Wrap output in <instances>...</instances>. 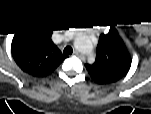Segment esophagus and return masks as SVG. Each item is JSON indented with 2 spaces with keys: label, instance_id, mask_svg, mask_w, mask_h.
I'll return each mask as SVG.
<instances>
[{
  "label": "esophagus",
  "instance_id": "1",
  "mask_svg": "<svg viewBox=\"0 0 151 114\" xmlns=\"http://www.w3.org/2000/svg\"><path fill=\"white\" fill-rule=\"evenodd\" d=\"M74 55H76L77 57L83 59L84 56L79 52V51H74Z\"/></svg>",
  "mask_w": 151,
  "mask_h": 114
}]
</instances>
